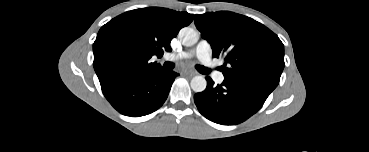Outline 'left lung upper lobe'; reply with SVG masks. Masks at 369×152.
I'll return each instance as SVG.
<instances>
[{
	"mask_svg": "<svg viewBox=\"0 0 369 152\" xmlns=\"http://www.w3.org/2000/svg\"><path fill=\"white\" fill-rule=\"evenodd\" d=\"M195 25L213 50L224 57V79L273 91L284 68V46L263 24L228 11L195 15Z\"/></svg>",
	"mask_w": 369,
	"mask_h": 152,
	"instance_id": "1",
	"label": "left lung upper lobe"
}]
</instances>
